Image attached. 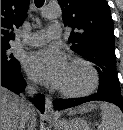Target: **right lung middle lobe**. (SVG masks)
<instances>
[{
    "instance_id": "right-lung-middle-lobe-1",
    "label": "right lung middle lobe",
    "mask_w": 123,
    "mask_h": 130,
    "mask_svg": "<svg viewBox=\"0 0 123 130\" xmlns=\"http://www.w3.org/2000/svg\"><path fill=\"white\" fill-rule=\"evenodd\" d=\"M9 44H1V66L8 67L13 70H20V64L13 54L9 52Z\"/></svg>"
}]
</instances>
